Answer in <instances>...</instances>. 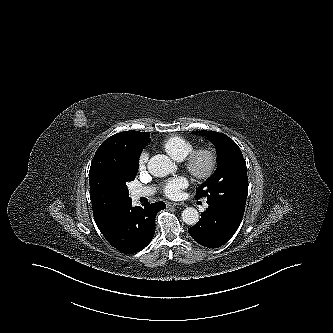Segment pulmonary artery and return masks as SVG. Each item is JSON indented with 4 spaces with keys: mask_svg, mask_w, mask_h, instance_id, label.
Returning <instances> with one entry per match:
<instances>
[{
    "mask_svg": "<svg viewBox=\"0 0 333 333\" xmlns=\"http://www.w3.org/2000/svg\"><path fill=\"white\" fill-rule=\"evenodd\" d=\"M155 188L154 187H140V188H135L132 191V194L135 198H140V197H147L151 196L154 194ZM207 206V204H205Z\"/></svg>",
    "mask_w": 333,
    "mask_h": 333,
    "instance_id": "obj_1",
    "label": "pulmonary artery"
}]
</instances>
